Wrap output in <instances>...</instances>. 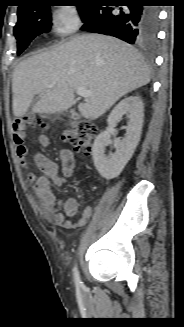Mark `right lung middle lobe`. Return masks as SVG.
I'll return each mask as SVG.
<instances>
[{"label": "right lung middle lobe", "instance_id": "1", "mask_svg": "<svg viewBox=\"0 0 184 327\" xmlns=\"http://www.w3.org/2000/svg\"><path fill=\"white\" fill-rule=\"evenodd\" d=\"M44 3L41 1L18 11V22L14 28V35L17 39V55H20L37 35L50 31L52 24L50 6ZM77 7L81 18L84 19L94 5L86 4Z\"/></svg>", "mask_w": 184, "mask_h": 327}]
</instances>
